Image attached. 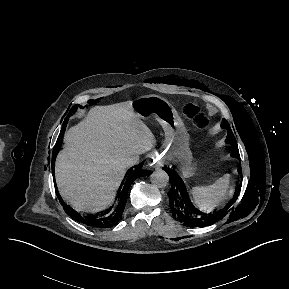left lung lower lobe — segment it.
I'll use <instances>...</instances> for the list:
<instances>
[{
  "label": "left lung lower lobe",
  "instance_id": "0a47b994",
  "mask_svg": "<svg viewBox=\"0 0 289 289\" xmlns=\"http://www.w3.org/2000/svg\"><path fill=\"white\" fill-rule=\"evenodd\" d=\"M172 180V188L168 193L172 214L186 226L203 227L211 225L224 216L220 214H206L197 210L191 203L182 179L170 169H166ZM241 174V166L239 167Z\"/></svg>",
  "mask_w": 289,
  "mask_h": 289
}]
</instances>
